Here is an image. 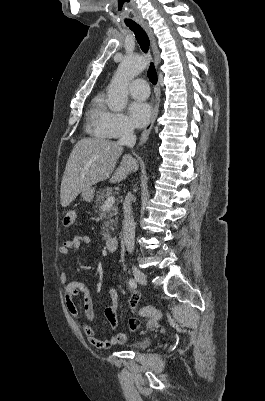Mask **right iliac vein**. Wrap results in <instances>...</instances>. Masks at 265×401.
Here are the masks:
<instances>
[{
  "label": "right iliac vein",
  "instance_id": "1",
  "mask_svg": "<svg viewBox=\"0 0 265 401\" xmlns=\"http://www.w3.org/2000/svg\"><path fill=\"white\" fill-rule=\"evenodd\" d=\"M132 272L138 283H140L144 286L147 285V277L140 269H138L136 266H133Z\"/></svg>",
  "mask_w": 265,
  "mask_h": 401
}]
</instances>
